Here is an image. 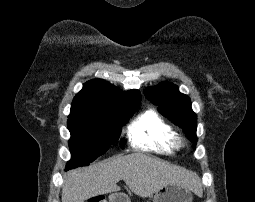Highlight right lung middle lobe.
Segmentation results:
<instances>
[{"label":"right lung middle lobe","mask_w":255,"mask_h":202,"mask_svg":"<svg viewBox=\"0 0 255 202\" xmlns=\"http://www.w3.org/2000/svg\"><path fill=\"white\" fill-rule=\"evenodd\" d=\"M139 104L106 115L71 116L68 129L71 133L69 148L72 159L66 170L86 166L103 155L116 142L121 127L134 114Z\"/></svg>","instance_id":"dd1d6c3e"}]
</instances>
